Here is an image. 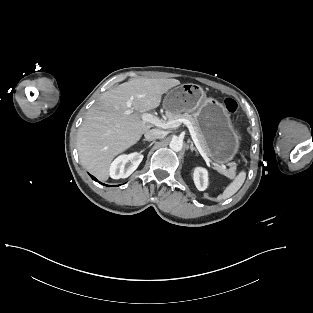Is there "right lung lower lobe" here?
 I'll list each match as a JSON object with an SVG mask.
<instances>
[{
    "label": "right lung lower lobe",
    "mask_w": 313,
    "mask_h": 313,
    "mask_svg": "<svg viewBox=\"0 0 313 313\" xmlns=\"http://www.w3.org/2000/svg\"><path fill=\"white\" fill-rule=\"evenodd\" d=\"M91 176V178L93 179V180H95V181H98L94 176H92V175H90ZM100 184H103V183H101V182H99ZM103 185H105V184H103ZM106 186H108V185H106Z\"/></svg>",
    "instance_id": "obj_1"
}]
</instances>
